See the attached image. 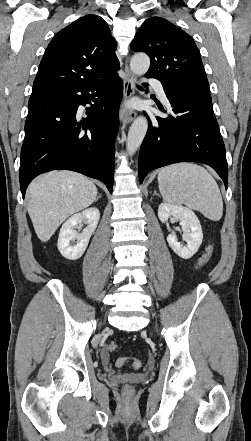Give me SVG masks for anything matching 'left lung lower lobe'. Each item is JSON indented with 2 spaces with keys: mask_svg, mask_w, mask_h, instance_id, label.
I'll return each mask as SVG.
<instances>
[{
  "mask_svg": "<svg viewBox=\"0 0 251 441\" xmlns=\"http://www.w3.org/2000/svg\"><path fill=\"white\" fill-rule=\"evenodd\" d=\"M162 85L172 115L156 116L155 120L148 118V131L139 154V182L156 168L178 162H200L214 168L227 188L226 150L210 92L171 83Z\"/></svg>",
  "mask_w": 251,
  "mask_h": 441,
  "instance_id": "0a47b994",
  "label": "left lung lower lobe"
}]
</instances>
